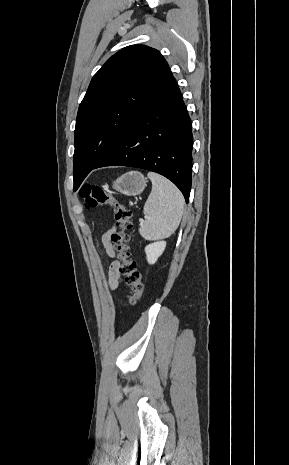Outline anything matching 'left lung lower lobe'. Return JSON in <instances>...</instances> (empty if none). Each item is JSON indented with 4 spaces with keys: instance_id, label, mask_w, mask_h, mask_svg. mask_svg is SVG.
Instances as JSON below:
<instances>
[{
    "instance_id": "obj_1",
    "label": "left lung lower lobe",
    "mask_w": 289,
    "mask_h": 465,
    "mask_svg": "<svg viewBox=\"0 0 289 465\" xmlns=\"http://www.w3.org/2000/svg\"><path fill=\"white\" fill-rule=\"evenodd\" d=\"M192 145L191 120L172 76L150 95L132 124L93 169L115 165L159 173L181 190L188 203Z\"/></svg>"
}]
</instances>
